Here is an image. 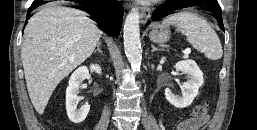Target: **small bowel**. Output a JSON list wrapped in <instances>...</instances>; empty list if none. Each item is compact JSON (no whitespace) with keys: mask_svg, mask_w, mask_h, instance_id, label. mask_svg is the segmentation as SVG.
<instances>
[{"mask_svg":"<svg viewBox=\"0 0 257 130\" xmlns=\"http://www.w3.org/2000/svg\"><path fill=\"white\" fill-rule=\"evenodd\" d=\"M206 121V118L201 120L196 119H188L183 122H181L177 126V130H198Z\"/></svg>","mask_w":257,"mask_h":130,"instance_id":"obj_1","label":"small bowel"}]
</instances>
